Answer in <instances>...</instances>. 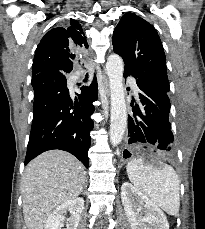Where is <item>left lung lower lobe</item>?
<instances>
[{
	"label": "left lung lower lobe",
	"mask_w": 205,
	"mask_h": 229,
	"mask_svg": "<svg viewBox=\"0 0 205 229\" xmlns=\"http://www.w3.org/2000/svg\"><path fill=\"white\" fill-rule=\"evenodd\" d=\"M130 75L124 73V77ZM135 79L140 89L139 101L132 107L133 115L128 116L129 151H124V157H130V151L138 149H150L172 157L174 137L169 122L168 93L156 85Z\"/></svg>",
	"instance_id": "1"
}]
</instances>
